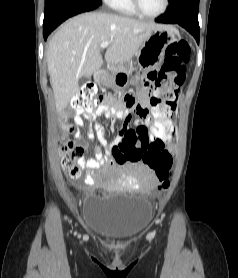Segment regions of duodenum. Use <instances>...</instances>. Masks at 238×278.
<instances>
[{
	"label": "duodenum",
	"instance_id": "obj_1",
	"mask_svg": "<svg viewBox=\"0 0 238 278\" xmlns=\"http://www.w3.org/2000/svg\"><path fill=\"white\" fill-rule=\"evenodd\" d=\"M96 76H97V78H98V80H103V78H104V73H103V71L102 70H99L97 73H96Z\"/></svg>",
	"mask_w": 238,
	"mask_h": 278
}]
</instances>
